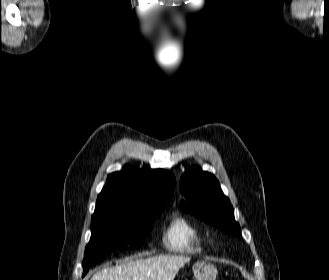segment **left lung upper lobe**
Listing matches in <instances>:
<instances>
[{
    "label": "left lung upper lobe",
    "mask_w": 329,
    "mask_h": 280,
    "mask_svg": "<svg viewBox=\"0 0 329 280\" xmlns=\"http://www.w3.org/2000/svg\"><path fill=\"white\" fill-rule=\"evenodd\" d=\"M180 191L184 197L180 204L183 211L195 214L224 232L241 236L230 200L213 174L199 167L190 168L181 178Z\"/></svg>",
    "instance_id": "1"
}]
</instances>
